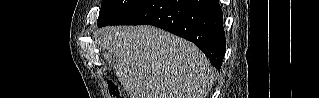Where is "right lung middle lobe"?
Returning <instances> with one entry per match:
<instances>
[{
  "instance_id": "right-lung-middle-lobe-1",
  "label": "right lung middle lobe",
  "mask_w": 319,
  "mask_h": 98,
  "mask_svg": "<svg viewBox=\"0 0 319 98\" xmlns=\"http://www.w3.org/2000/svg\"><path fill=\"white\" fill-rule=\"evenodd\" d=\"M147 0H102L97 21L98 27L106 26L125 16Z\"/></svg>"
}]
</instances>
